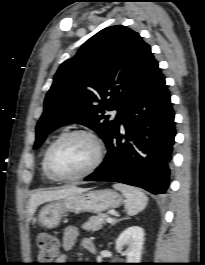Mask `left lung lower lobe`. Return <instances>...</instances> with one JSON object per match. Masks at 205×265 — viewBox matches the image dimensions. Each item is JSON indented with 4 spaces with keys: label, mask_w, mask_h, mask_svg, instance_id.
<instances>
[{
    "label": "left lung lower lobe",
    "mask_w": 205,
    "mask_h": 265,
    "mask_svg": "<svg viewBox=\"0 0 205 265\" xmlns=\"http://www.w3.org/2000/svg\"><path fill=\"white\" fill-rule=\"evenodd\" d=\"M175 135L170 94L157 63L121 110L104 162L84 180L120 182L165 194Z\"/></svg>",
    "instance_id": "0a47b994"
}]
</instances>
